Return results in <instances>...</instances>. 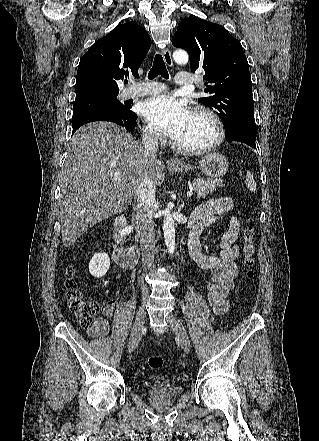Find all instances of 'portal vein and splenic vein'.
I'll return each instance as SVG.
<instances>
[{
	"label": "portal vein and splenic vein",
	"instance_id": "1",
	"mask_svg": "<svg viewBox=\"0 0 319 441\" xmlns=\"http://www.w3.org/2000/svg\"><path fill=\"white\" fill-rule=\"evenodd\" d=\"M114 176H115V178H116L117 180H121L122 177H123V175H122L121 172H115V173H114ZM193 191H194V189H190V190L187 192V197H188V198L192 196Z\"/></svg>",
	"mask_w": 319,
	"mask_h": 441
}]
</instances>
